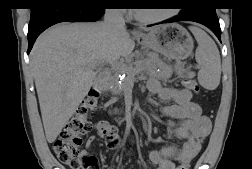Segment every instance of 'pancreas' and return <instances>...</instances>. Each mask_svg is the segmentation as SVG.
I'll return each mask as SVG.
<instances>
[{"label": "pancreas", "instance_id": "obj_1", "mask_svg": "<svg viewBox=\"0 0 252 169\" xmlns=\"http://www.w3.org/2000/svg\"><path fill=\"white\" fill-rule=\"evenodd\" d=\"M182 63H176L174 66H171L163 62L156 54L150 53L147 58L137 60L135 63L128 65L127 67L132 69L130 74H147L157 76L161 80H168L174 70H179ZM159 68L157 72L156 69ZM120 72L117 71L110 76H108L103 84L104 87L109 89V87L114 84L118 77L117 75ZM119 92V91H118Z\"/></svg>", "mask_w": 252, "mask_h": 169}]
</instances>
